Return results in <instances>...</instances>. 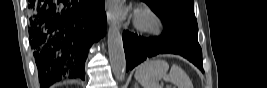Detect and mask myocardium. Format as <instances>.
<instances>
[{
  "label": "myocardium",
  "mask_w": 267,
  "mask_h": 88,
  "mask_svg": "<svg viewBox=\"0 0 267 88\" xmlns=\"http://www.w3.org/2000/svg\"><path fill=\"white\" fill-rule=\"evenodd\" d=\"M133 24L139 32L148 35H161L164 31L162 19L152 9L147 7L135 10Z\"/></svg>",
  "instance_id": "1"
}]
</instances>
